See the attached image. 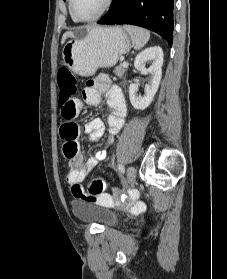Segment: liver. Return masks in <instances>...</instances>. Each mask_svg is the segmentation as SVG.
<instances>
[{
	"instance_id": "1",
	"label": "liver",
	"mask_w": 227,
	"mask_h": 279,
	"mask_svg": "<svg viewBox=\"0 0 227 279\" xmlns=\"http://www.w3.org/2000/svg\"><path fill=\"white\" fill-rule=\"evenodd\" d=\"M87 28H91V27H87ZM72 36H73V32H71V31L65 32L62 36L61 44H63L67 38L72 37Z\"/></svg>"
}]
</instances>
